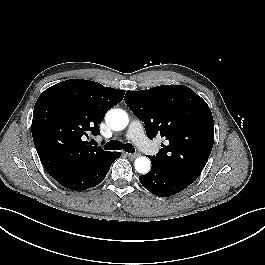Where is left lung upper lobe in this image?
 Listing matches in <instances>:
<instances>
[{"instance_id":"left-lung-upper-lobe-1","label":"left lung upper lobe","mask_w":265,"mask_h":265,"mask_svg":"<svg viewBox=\"0 0 265 265\" xmlns=\"http://www.w3.org/2000/svg\"><path fill=\"white\" fill-rule=\"evenodd\" d=\"M125 102L144 122L149 139L160 135L167 140L150 160L195 181L214 143V121L207 103L183 85L130 91Z\"/></svg>"}]
</instances>
